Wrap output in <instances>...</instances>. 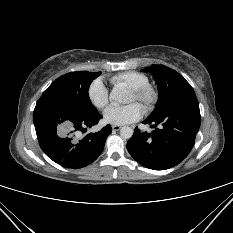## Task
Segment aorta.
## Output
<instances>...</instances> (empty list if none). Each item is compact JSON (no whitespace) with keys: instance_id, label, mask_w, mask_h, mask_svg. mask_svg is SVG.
Instances as JSON below:
<instances>
[{"instance_id":"1","label":"aorta","mask_w":233,"mask_h":233,"mask_svg":"<svg viewBox=\"0 0 233 233\" xmlns=\"http://www.w3.org/2000/svg\"><path fill=\"white\" fill-rule=\"evenodd\" d=\"M110 99L117 101L119 103L127 102V91L122 84H117L114 86L110 93ZM133 135V130L131 127L124 126L120 129V136L124 139H130Z\"/></svg>"}]
</instances>
